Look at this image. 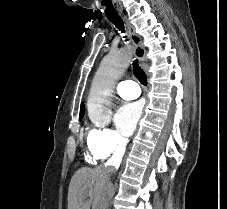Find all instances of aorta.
<instances>
[{"label":"aorta","instance_id":"1","mask_svg":"<svg viewBox=\"0 0 227 209\" xmlns=\"http://www.w3.org/2000/svg\"><path fill=\"white\" fill-rule=\"evenodd\" d=\"M131 61L129 50L122 48L109 53L102 60L92 82L87 109L91 120L97 121L101 116L108 115L109 97L116 80L124 73Z\"/></svg>","mask_w":227,"mask_h":209}]
</instances>
